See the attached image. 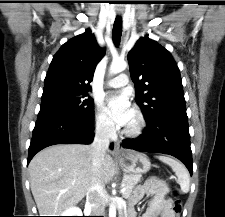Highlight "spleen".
Returning a JSON list of instances; mask_svg holds the SVG:
<instances>
[{
    "label": "spleen",
    "instance_id": "1",
    "mask_svg": "<svg viewBox=\"0 0 225 217\" xmlns=\"http://www.w3.org/2000/svg\"><path fill=\"white\" fill-rule=\"evenodd\" d=\"M157 158L160 161L168 164L172 168V170L175 172L176 176L178 177L181 192L187 193L190 188V178H189V173L187 169L185 168V166L169 156L161 155V156H158Z\"/></svg>",
    "mask_w": 225,
    "mask_h": 217
}]
</instances>
